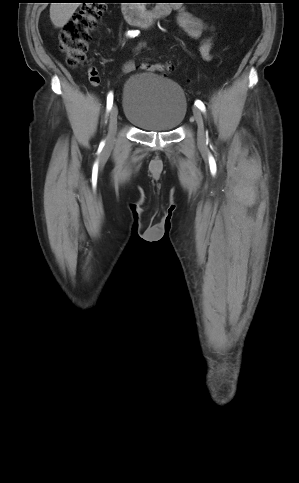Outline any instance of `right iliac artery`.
Instances as JSON below:
<instances>
[{
    "instance_id": "82829eb1",
    "label": "right iliac artery",
    "mask_w": 299,
    "mask_h": 483,
    "mask_svg": "<svg viewBox=\"0 0 299 483\" xmlns=\"http://www.w3.org/2000/svg\"><path fill=\"white\" fill-rule=\"evenodd\" d=\"M139 34V31L138 30H134V31H128V35L131 36V37H135ZM112 104H113V93L110 92L107 96V110L109 111L112 107Z\"/></svg>"
}]
</instances>
